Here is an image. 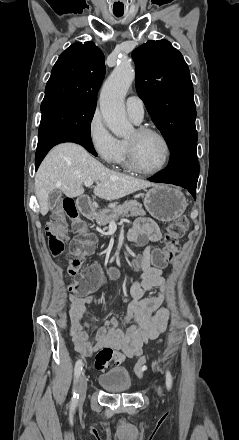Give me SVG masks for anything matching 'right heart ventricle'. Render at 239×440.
Returning a JSON list of instances; mask_svg holds the SVG:
<instances>
[{
	"instance_id": "obj_1",
	"label": "right heart ventricle",
	"mask_w": 239,
	"mask_h": 440,
	"mask_svg": "<svg viewBox=\"0 0 239 440\" xmlns=\"http://www.w3.org/2000/svg\"><path fill=\"white\" fill-rule=\"evenodd\" d=\"M123 144H124V151H123V155H122V157H121V160H120L119 164H120L123 168H125V169H127V170H130L131 167H130L129 160H128L127 146H126V143H125V142H123Z\"/></svg>"
}]
</instances>
